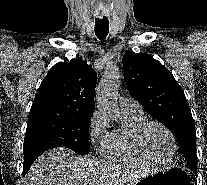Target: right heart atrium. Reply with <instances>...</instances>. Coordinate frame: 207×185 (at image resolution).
Wrapping results in <instances>:
<instances>
[{"instance_id":"right-heart-atrium-1","label":"right heart atrium","mask_w":207,"mask_h":185,"mask_svg":"<svg viewBox=\"0 0 207 185\" xmlns=\"http://www.w3.org/2000/svg\"><path fill=\"white\" fill-rule=\"evenodd\" d=\"M108 121L109 117L105 112L97 110L93 113L89 123V137L92 142L106 136Z\"/></svg>"}]
</instances>
